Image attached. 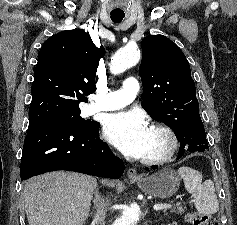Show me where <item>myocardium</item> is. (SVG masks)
<instances>
[{
  "mask_svg": "<svg viewBox=\"0 0 237 225\" xmlns=\"http://www.w3.org/2000/svg\"><path fill=\"white\" fill-rule=\"evenodd\" d=\"M150 130L159 134L165 140V148L162 152L142 158V162L149 165H160L168 162L176 153L179 142L175 132L168 126L160 123H152Z\"/></svg>",
  "mask_w": 237,
  "mask_h": 225,
  "instance_id": "f54148a6",
  "label": "myocardium"
}]
</instances>
